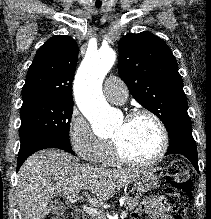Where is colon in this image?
<instances>
[{
  "label": "colon",
  "mask_w": 211,
  "mask_h": 219,
  "mask_svg": "<svg viewBox=\"0 0 211 219\" xmlns=\"http://www.w3.org/2000/svg\"><path fill=\"white\" fill-rule=\"evenodd\" d=\"M166 201L172 209L174 219H184L190 200L191 182L188 166L180 159L172 161L166 169ZM48 219H63L49 217ZM66 219H75L73 215Z\"/></svg>",
  "instance_id": "obj_1"
}]
</instances>
